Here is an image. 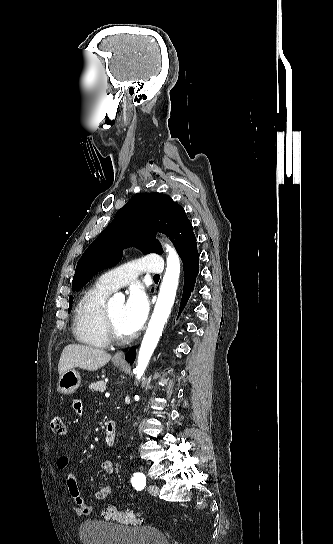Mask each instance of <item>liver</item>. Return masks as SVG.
Listing matches in <instances>:
<instances>
[{
    "label": "liver",
    "instance_id": "liver-1",
    "mask_svg": "<svg viewBox=\"0 0 333 544\" xmlns=\"http://www.w3.org/2000/svg\"><path fill=\"white\" fill-rule=\"evenodd\" d=\"M111 359L106 351L81 344H69L64 347L58 364L61 376L65 371L79 367L95 371L105 366Z\"/></svg>",
    "mask_w": 333,
    "mask_h": 544
}]
</instances>
